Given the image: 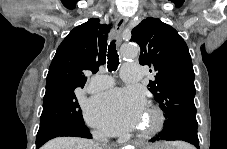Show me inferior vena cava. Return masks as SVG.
Returning a JSON list of instances; mask_svg holds the SVG:
<instances>
[{"mask_svg":"<svg viewBox=\"0 0 227 149\" xmlns=\"http://www.w3.org/2000/svg\"><path fill=\"white\" fill-rule=\"evenodd\" d=\"M93 135L97 140L106 141L105 136L99 132H94Z\"/></svg>","mask_w":227,"mask_h":149,"instance_id":"602c4592","label":"inferior vena cava"}]
</instances>
